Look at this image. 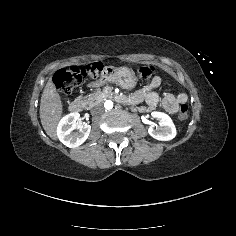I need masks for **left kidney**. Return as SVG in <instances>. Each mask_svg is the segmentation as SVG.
<instances>
[{
	"label": "left kidney",
	"mask_w": 236,
	"mask_h": 236,
	"mask_svg": "<svg viewBox=\"0 0 236 236\" xmlns=\"http://www.w3.org/2000/svg\"><path fill=\"white\" fill-rule=\"evenodd\" d=\"M151 118L158 122L156 129L149 126V135L158 141H170L176 136V127L172 119L165 113L152 111Z\"/></svg>",
	"instance_id": "1"
}]
</instances>
